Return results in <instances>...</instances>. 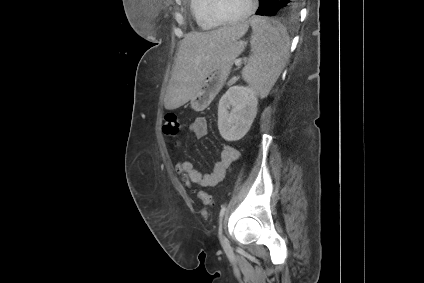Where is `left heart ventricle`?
<instances>
[{"instance_id":"left-heart-ventricle-1","label":"left heart ventricle","mask_w":424,"mask_h":283,"mask_svg":"<svg viewBox=\"0 0 424 283\" xmlns=\"http://www.w3.org/2000/svg\"><path fill=\"white\" fill-rule=\"evenodd\" d=\"M250 0H218L217 8L224 18H236L247 11Z\"/></svg>"}]
</instances>
